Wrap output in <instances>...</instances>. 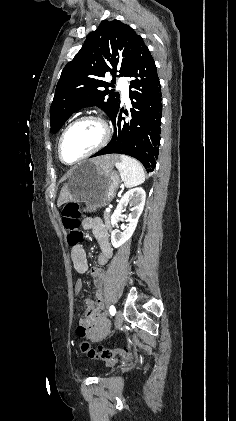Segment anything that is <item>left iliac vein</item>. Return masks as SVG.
Returning <instances> with one entry per match:
<instances>
[{
  "mask_svg": "<svg viewBox=\"0 0 236 421\" xmlns=\"http://www.w3.org/2000/svg\"><path fill=\"white\" fill-rule=\"evenodd\" d=\"M123 323V313L121 310H118L115 317V328L119 330L122 327Z\"/></svg>",
  "mask_w": 236,
  "mask_h": 421,
  "instance_id": "left-iliac-vein-1",
  "label": "left iliac vein"
}]
</instances>
